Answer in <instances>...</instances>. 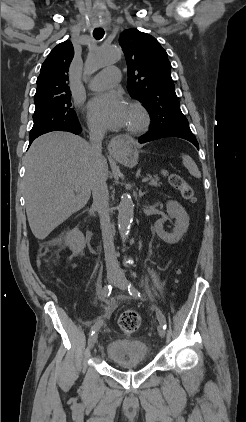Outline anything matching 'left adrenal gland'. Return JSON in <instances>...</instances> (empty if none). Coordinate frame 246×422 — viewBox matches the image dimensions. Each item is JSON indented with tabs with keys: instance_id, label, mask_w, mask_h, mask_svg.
Segmentation results:
<instances>
[{
	"instance_id": "obj_1",
	"label": "left adrenal gland",
	"mask_w": 246,
	"mask_h": 422,
	"mask_svg": "<svg viewBox=\"0 0 246 422\" xmlns=\"http://www.w3.org/2000/svg\"><path fill=\"white\" fill-rule=\"evenodd\" d=\"M146 194V192H142L141 189L139 190V197H142Z\"/></svg>"
}]
</instances>
